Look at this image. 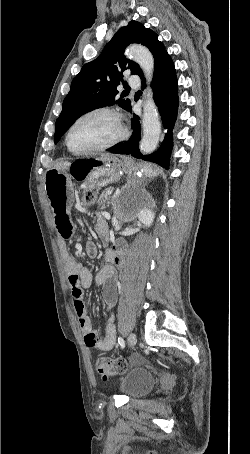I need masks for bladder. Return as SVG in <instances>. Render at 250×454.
Returning <instances> with one entry per match:
<instances>
[{"mask_svg":"<svg viewBox=\"0 0 250 454\" xmlns=\"http://www.w3.org/2000/svg\"><path fill=\"white\" fill-rule=\"evenodd\" d=\"M153 385L154 377L150 371L135 368L119 380L118 388L129 398H138L149 393Z\"/></svg>","mask_w":250,"mask_h":454,"instance_id":"obj_1","label":"bladder"}]
</instances>
